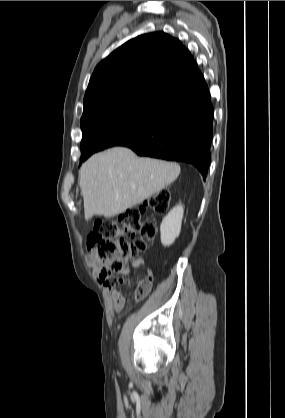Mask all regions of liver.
I'll return each instance as SVG.
<instances>
[{
  "mask_svg": "<svg viewBox=\"0 0 285 418\" xmlns=\"http://www.w3.org/2000/svg\"><path fill=\"white\" fill-rule=\"evenodd\" d=\"M179 174L177 163L140 158L125 147L94 154L79 173L85 219L123 213L171 184Z\"/></svg>",
  "mask_w": 285,
  "mask_h": 418,
  "instance_id": "obj_1",
  "label": "liver"
}]
</instances>
